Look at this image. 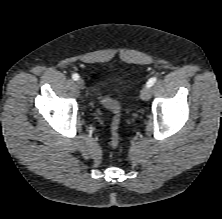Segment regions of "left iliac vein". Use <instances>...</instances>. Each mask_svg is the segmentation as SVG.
<instances>
[{
    "label": "left iliac vein",
    "mask_w": 222,
    "mask_h": 219,
    "mask_svg": "<svg viewBox=\"0 0 222 219\" xmlns=\"http://www.w3.org/2000/svg\"><path fill=\"white\" fill-rule=\"evenodd\" d=\"M150 97H151V88L145 86L140 92V98L144 101H147L150 99Z\"/></svg>",
    "instance_id": "obj_1"
}]
</instances>
